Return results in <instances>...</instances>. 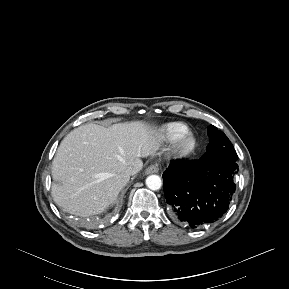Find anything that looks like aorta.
I'll return each mask as SVG.
<instances>
[{
    "mask_svg": "<svg viewBox=\"0 0 289 289\" xmlns=\"http://www.w3.org/2000/svg\"><path fill=\"white\" fill-rule=\"evenodd\" d=\"M146 186L153 191L159 190L162 186V180L158 175H150L146 178Z\"/></svg>",
    "mask_w": 289,
    "mask_h": 289,
    "instance_id": "aorta-1",
    "label": "aorta"
}]
</instances>
